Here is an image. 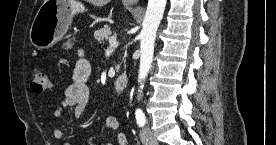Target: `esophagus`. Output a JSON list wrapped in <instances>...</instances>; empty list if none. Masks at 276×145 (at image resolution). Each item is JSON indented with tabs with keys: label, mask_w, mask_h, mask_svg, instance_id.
Instances as JSON below:
<instances>
[{
	"label": "esophagus",
	"mask_w": 276,
	"mask_h": 145,
	"mask_svg": "<svg viewBox=\"0 0 276 145\" xmlns=\"http://www.w3.org/2000/svg\"><path fill=\"white\" fill-rule=\"evenodd\" d=\"M128 4H137L138 0H125Z\"/></svg>",
	"instance_id": "esophagus-1"
}]
</instances>
